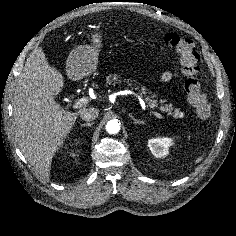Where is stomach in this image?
I'll use <instances>...</instances> for the list:
<instances>
[{"mask_svg": "<svg viewBox=\"0 0 236 236\" xmlns=\"http://www.w3.org/2000/svg\"><path fill=\"white\" fill-rule=\"evenodd\" d=\"M91 40L92 45L78 46L70 52L66 62L69 78L78 80L96 70L99 51L102 47V36L99 33H94Z\"/></svg>", "mask_w": 236, "mask_h": 236, "instance_id": "0dacf381", "label": "stomach"}]
</instances>
